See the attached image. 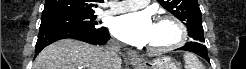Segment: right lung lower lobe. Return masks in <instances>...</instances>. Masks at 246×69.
<instances>
[{"mask_svg":"<svg viewBox=\"0 0 246 69\" xmlns=\"http://www.w3.org/2000/svg\"><path fill=\"white\" fill-rule=\"evenodd\" d=\"M65 38H73L90 44H105L110 35L104 27L98 30H82L78 28H44L40 29L35 53H38L47 45Z\"/></svg>","mask_w":246,"mask_h":69,"instance_id":"1","label":"right lung lower lobe"}]
</instances>
